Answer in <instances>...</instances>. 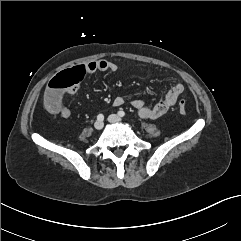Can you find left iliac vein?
Here are the masks:
<instances>
[{
    "instance_id": "1",
    "label": "left iliac vein",
    "mask_w": 241,
    "mask_h": 241,
    "mask_svg": "<svg viewBox=\"0 0 241 241\" xmlns=\"http://www.w3.org/2000/svg\"><path fill=\"white\" fill-rule=\"evenodd\" d=\"M108 121L111 123H117V122H121V118L116 114H111L108 117Z\"/></svg>"
}]
</instances>
